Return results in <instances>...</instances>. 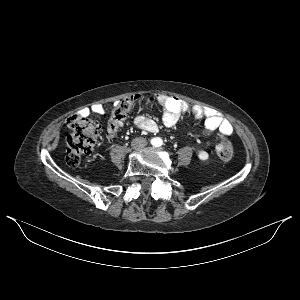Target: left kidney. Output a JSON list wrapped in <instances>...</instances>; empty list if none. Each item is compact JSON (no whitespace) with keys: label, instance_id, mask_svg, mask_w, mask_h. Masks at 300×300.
I'll return each instance as SVG.
<instances>
[{"label":"left kidney","instance_id":"left-kidney-1","mask_svg":"<svg viewBox=\"0 0 300 300\" xmlns=\"http://www.w3.org/2000/svg\"><path fill=\"white\" fill-rule=\"evenodd\" d=\"M208 157H209V155L206 151H203V150L198 151V158L200 160H207Z\"/></svg>","mask_w":300,"mask_h":300}]
</instances>
